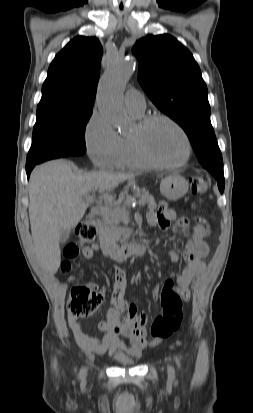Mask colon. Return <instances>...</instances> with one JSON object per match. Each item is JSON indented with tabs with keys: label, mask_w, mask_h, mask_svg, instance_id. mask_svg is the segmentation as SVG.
Returning <instances> with one entry per match:
<instances>
[{
	"label": "colon",
	"mask_w": 253,
	"mask_h": 413,
	"mask_svg": "<svg viewBox=\"0 0 253 413\" xmlns=\"http://www.w3.org/2000/svg\"><path fill=\"white\" fill-rule=\"evenodd\" d=\"M207 182L202 177L191 179V190L194 194H201L207 190ZM78 241L68 244L64 249L66 260L62 263V270L71 268L69 259L79 254L80 248L94 241L97 227L92 220H86L78 225L76 230ZM72 280V278H71ZM104 292L93 284H75L71 287L67 302L68 313L77 318H85L93 314L100 306ZM162 312L154 319L151 325L153 340L160 341L176 332L183 319L182 298L171 280H167L160 296Z\"/></svg>",
	"instance_id": "5ec220e1"
}]
</instances>
